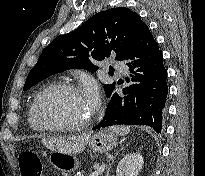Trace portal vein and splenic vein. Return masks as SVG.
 <instances>
[{"mask_svg":"<svg viewBox=\"0 0 205 176\" xmlns=\"http://www.w3.org/2000/svg\"><path fill=\"white\" fill-rule=\"evenodd\" d=\"M106 165H102L96 168V171L93 173V176H99L101 173L104 172Z\"/></svg>","mask_w":205,"mask_h":176,"instance_id":"1","label":"portal vein and splenic vein"}]
</instances>
